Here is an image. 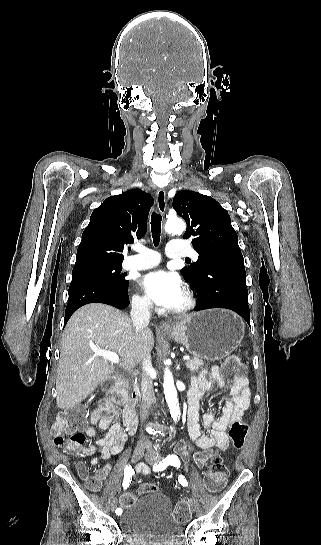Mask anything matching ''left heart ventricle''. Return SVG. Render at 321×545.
Returning <instances> with one entry per match:
<instances>
[{
    "mask_svg": "<svg viewBox=\"0 0 321 545\" xmlns=\"http://www.w3.org/2000/svg\"><path fill=\"white\" fill-rule=\"evenodd\" d=\"M183 304H184V294L182 295V297H181V299H180V302H179L177 308L181 307Z\"/></svg>",
    "mask_w": 321,
    "mask_h": 545,
    "instance_id": "b2bd125f",
    "label": "left heart ventricle"
}]
</instances>
